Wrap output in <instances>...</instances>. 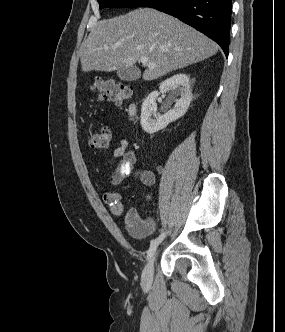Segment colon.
<instances>
[{
	"mask_svg": "<svg viewBox=\"0 0 285 332\" xmlns=\"http://www.w3.org/2000/svg\"><path fill=\"white\" fill-rule=\"evenodd\" d=\"M92 90L100 100L110 99L116 104H121L131 94V88L113 79H97L92 84ZM111 132L108 127L94 130L89 136V144L99 151L109 148Z\"/></svg>",
	"mask_w": 285,
	"mask_h": 332,
	"instance_id": "1",
	"label": "colon"
}]
</instances>
